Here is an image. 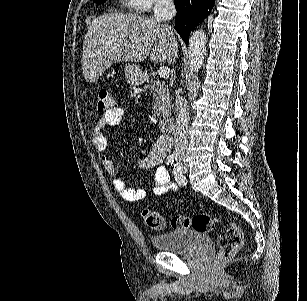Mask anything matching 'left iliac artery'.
Returning a JSON list of instances; mask_svg holds the SVG:
<instances>
[{"instance_id": "left-iliac-artery-1", "label": "left iliac artery", "mask_w": 307, "mask_h": 301, "mask_svg": "<svg viewBox=\"0 0 307 301\" xmlns=\"http://www.w3.org/2000/svg\"><path fill=\"white\" fill-rule=\"evenodd\" d=\"M173 174L175 176L176 181L179 184L185 183V177L182 175L181 166L179 163H176L173 168Z\"/></svg>"}]
</instances>
